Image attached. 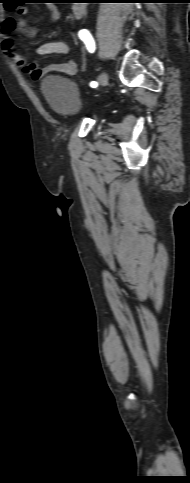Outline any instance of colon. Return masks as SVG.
Segmentation results:
<instances>
[{
    "label": "colon",
    "instance_id": "colon-1",
    "mask_svg": "<svg viewBox=\"0 0 190 483\" xmlns=\"http://www.w3.org/2000/svg\"><path fill=\"white\" fill-rule=\"evenodd\" d=\"M6 2H7V4H8L9 6H11V7H10V9H14V8H16V6L18 5V4H17L16 2H14V1H6Z\"/></svg>",
    "mask_w": 190,
    "mask_h": 483
}]
</instances>
